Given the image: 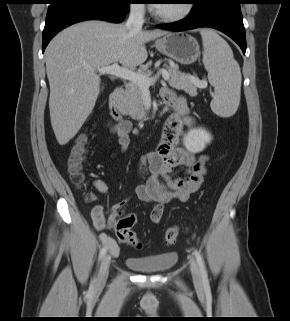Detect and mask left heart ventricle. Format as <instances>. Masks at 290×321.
I'll return each mask as SVG.
<instances>
[{"label": "left heart ventricle", "mask_w": 290, "mask_h": 321, "mask_svg": "<svg viewBox=\"0 0 290 321\" xmlns=\"http://www.w3.org/2000/svg\"><path fill=\"white\" fill-rule=\"evenodd\" d=\"M182 6H183L182 1L166 0V1H163V3L158 4L156 8L162 13L174 14L178 12Z\"/></svg>", "instance_id": "obj_1"}]
</instances>
